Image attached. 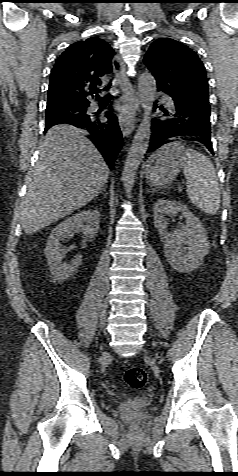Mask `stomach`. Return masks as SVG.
Wrapping results in <instances>:
<instances>
[{
  "mask_svg": "<svg viewBox=\"0 0 238 476\" xmlns=\"http://www.w3.org/2000/svg\"><path fill=\"white\" fill-rule=\"evenodd\" d=\"M186 163L183 147L178 142L169 143L157 150L146 164V178L154 186L170 184Z\"/></svg>",
  "mask_w": 238,
  "mask_h": 476,
  "instance_id": "1",
  "label": "stomach"
}]
</instances>
